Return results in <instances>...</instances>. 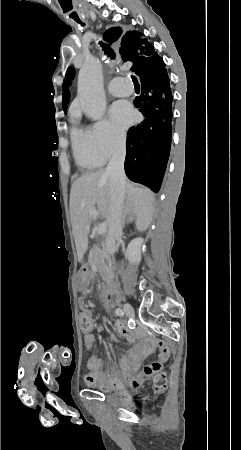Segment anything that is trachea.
Listing matches in <instances>:
<instances>
[{
	"mask_svg": "<svg viewBox=\"0 0 241 450\" xmlns=\"http://www.w3.org/2000/svg\"><path fill=\"white\" fill-rule=\"evenodd\" d=\"M101 46H102V49L105 52V54H107L109 57H111V59H114L115 55H114L112 49L107 44L101 43ZM131 78H132L134 85H139L136 77L131 76Z\"/></svg>",
	"mask_w": 241,
	"mask_h": 450,
	"instance_id": "1",
	"label": "trachea"
}]
</instances>
